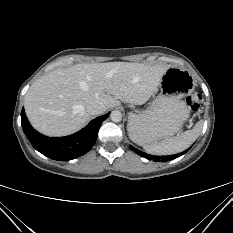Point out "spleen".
I'll return each mask as SVG.
<instances>
[{"label":"spleen","instance_id":"obj_1","mask_svg":"<svg viewBox=\"0 0 233 233\" xmlns=\"http://www.w3.org/2000/svg\"><path fill=\"white\" fill-rule=\"evenodd\" d=\"M203 123L199 121L192 130H187L175 137L166 138L160 142L147 143L136 133H130L131 139L154 155H171L184 151L196 141L202 130Z\"/></svg>","mask_w":233,"mask_h":233}]
</instances>
